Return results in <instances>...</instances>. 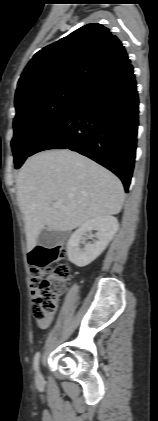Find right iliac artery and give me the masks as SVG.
I'll return each mask as SVG.
<instances>
[{
	"label": "right iliac artery",
	"mask_w": 158,
	"mask_h": 421,
	"mask_svg": "<svg viewBox=\"0 0 158 421\" xmlns=\"http://www.w3.org/2000/svg\"><path fill=\"white\" fill-rule=\"evenodd\" d=\"M39 359H40V352H37L33 360V367L36 371H38Z\"/></svg>",
	"instance_id": "right-iliac-artery-1"
}]
</instances>
